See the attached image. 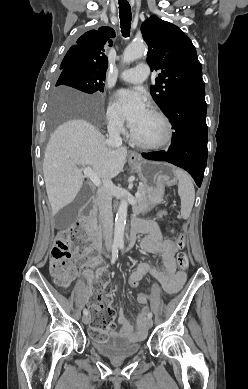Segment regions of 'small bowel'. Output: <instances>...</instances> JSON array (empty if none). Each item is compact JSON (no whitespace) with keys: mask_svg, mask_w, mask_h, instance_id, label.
Returning a JSON list of instances; mask_svg holds the SVG:
<instances>
[{"mask_svg":"<svg viewBox=\"0 0 248 389\" xmlns=\"http://www.w3.org/2000/svg\"><path fill=\"white\" fill-rule=\"evenodd\" d=\"M134 225L139 226V232L146 234L141 242L142 250L146 253L160 257L163 268L157 269L146 262H141L138 264L137 269L130 274L131 277H138L141 280L146 275H150L161 285L165 292L169 294L178 292L185 282V274L176 272L174 258V254L180 246L177 242L171 240L163 241L159 227L157 223L153 221L137 222ZM109 297L111 298V296ZM149 301L150 299L148 301H143L141 298H137V302L143 305V307L137 314L135 325L130 322L125 309L121 308L118 316V322L120 324L119 331L109 330L106 332V337L120 336L131 341L143 339L147 333V316L149 311L147 304ZM86 302L89 305H92L90 300H87Z\"/></svg>","mask_w":248,"mask_h":389,"instance_id":"1","label":"small bowel"}]
</instances>
